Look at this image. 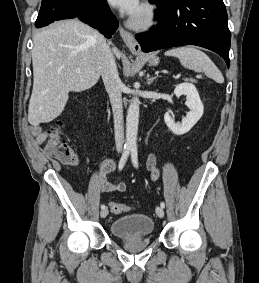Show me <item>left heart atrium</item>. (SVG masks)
Listing matches in <instances>:
<instances>
[{
  "label": "left heart atrium",
  "instance_id": "1",
  "mask_svg": "<svg viewBox=\"0 0 259 283\" xmlns=\"http://www.w3.org/2000/svg\"><path fill=\"white\" fill-rule=\"evenodd\" d=\"M111 4L130 16H136L141 8L140 0H109Z\"/></svg>",
  "mask_w": 259,
  "mask_h": 283
}]
</instances>
